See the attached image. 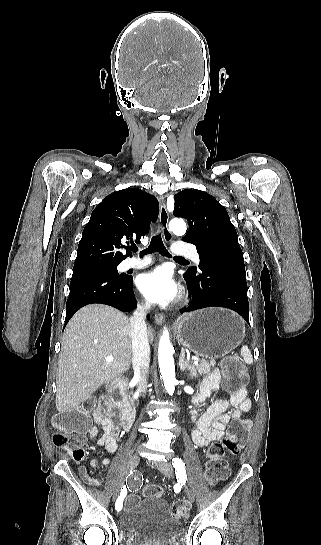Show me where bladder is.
Segmentation results:
<instances>
[{"label": "bladder", "mask_w": 321, "mask_h": 545, "mask_svg": "<svg viewBox=\"0 0 321 545\" xmlns=\"http://www.w3.org/2000/svg\"><path fill=\"white\" fill-rule=\"evenodd\" d=\"M118 528L127 545H178L184 535L183 523L172 516L160 496L146 497L118 515Z\"/></svg>", "instance_id": "1"}]
</instances>
